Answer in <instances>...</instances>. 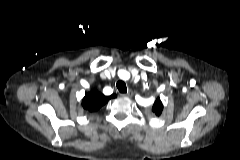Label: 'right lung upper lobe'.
<instances>
[{
  "mask_svg": "<svg viewBox=\"0 0 240 160\" xmlns=\"http://www.w3.org/2000/svg\"><path fill=\"white\" fill-rule=\"evenodd\" d=\"M115 97H116L115 94H112L111 96H104L97 90H92L91 92L86 93L82 101V106L87 111H90V112L96 111L101 106L106 104L108 100Z\"/></svg>",
  "mask_w": 240,
  "mask_h": 160,
  "instance_id": "obj_1",
  "label": "right lung upper lobe"
}]
</instances>
